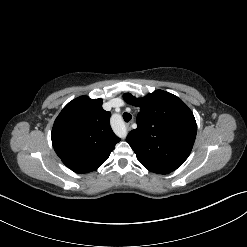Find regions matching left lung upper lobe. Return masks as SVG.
<instances>
[{
    "label": "left lung upper lobe",
    "instance_id": "obj_1",
    "mask_svg": "<svg viewBox=\"0 0 247 247\" xmlns=\"http://www.w3.org/2000/svg\"><path fill=\"white\" fill-rule=\"evenodd\" d=\"M127 103L139 106L138 127L127 142L149 171L168 174L189 156L197 132L191 110L177 96L157 90L144 98L124 94Z\"/></svg>",
    "mask_w": 247,
    "mask_h": 247
}]
</instances>
